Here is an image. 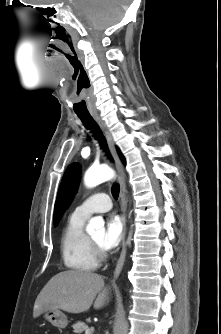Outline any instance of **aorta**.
<instances>
[{"label":"aorta","mask_w":221,"mask_h":334,"mask_svg":"<svg viewBox=\"0 0 221 334\" xmlns=\"http://www.w3.org/2000/svg\"><path fill=\"white\" fill-rule=\"evenodd\" d=\"M114 176V171L108 166L91 167L85 173L84 183L86 187L93 188L105 181L111 180ZM86 230L88 233H94L96 230L104 231V220L101 217L92 218Z\"/></svg>","instance_id":"obj_1"}]
</instances>
